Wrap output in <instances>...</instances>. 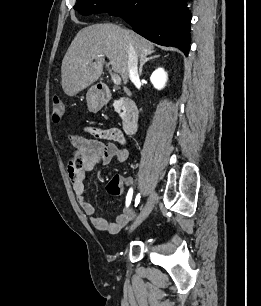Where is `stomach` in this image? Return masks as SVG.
Here are the masks:
<instances>
[{
  "label": "stomach",
  "instance_id": "obj_1",
  "mask_svg": "<svg viewBox=\"0 0 261 306\" xmlns=\"http://www.w3.org/2000/svg\"><path fill=\"white\" fill-rule=\"evenodd\" d=\"M88 109L92 112H97L103 106V100L100 93L95 87H91L86 94Z\"/></svg>",
  "mask_w": 261,
  "mask_h": 306
}]
</instances>
